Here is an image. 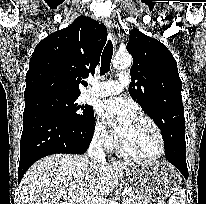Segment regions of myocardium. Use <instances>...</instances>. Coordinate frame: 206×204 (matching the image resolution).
<instances>
[{"label":"myocardium","instance_id":"obj_1","mask_svg":"<svg viewBox=\"0 0 206 204\" xmlns=\"http://www.w3.org/2000/svg\"><path fill=\"white\" fill-rule=\"evenodd\" d=\"M134 116L137 117V118L145 120L153 128V130L155 131V133L158 137L159 150L156 154L151 155V156L138 155V154H135V153H132L131 151H129L125 147L122 139L120 138V140H119V150H120V152L128 158L138 160V161H143V162H154V161H157V160L161 159L166 154V151H167L166 140H165V137H164V134H163L161 128L153 120V118H151L149 115H147L145 113L139 112V113L134 114Z\"/></svg>","mask_w":206,"mask_h":204}]
</instances>
